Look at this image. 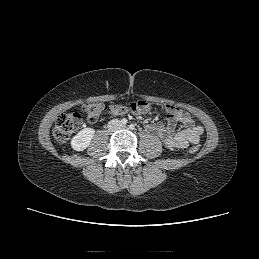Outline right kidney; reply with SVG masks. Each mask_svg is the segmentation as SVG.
Returning <instances> with one entry per match:
<instances>
[{
    "label": "right kidney",
    "mask_w": 259,
    "mask_h": 259,
    "mask_svg": "<svg viewBox=\"0 0 259 259\" xmlns=\"http://www.w3.org/2000/svg\"><path fill=\"white\" fill-rule=\"evenodd\" d=\"M95 134L93 128H85L75 135L71 140V146L76 151H83L89 145Z\"/></svg>",
    "instance_id": "obj_1"
}]
</instances>
